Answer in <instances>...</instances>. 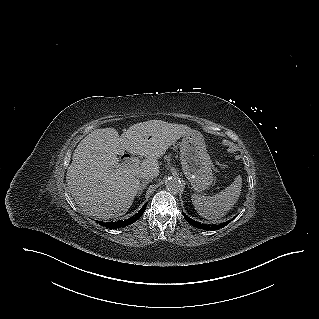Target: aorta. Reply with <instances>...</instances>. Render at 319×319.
<instances>
[{
  "label": "aorta",
  "instance_id": "1",
  "mask_svg": "<svg viewBox=\"0 0 319 319\" xmlns=\"http://www.w3.org/2000/svg\"><path fill=\"white\" fill-rule=\"evenodd\" d=\"M165 185L171 192H178L183 188L182 182L176 177H168L165 181Z\"/></svg>",
  "mask_w": 319,
  "mask_h": 319
}]
</instances>
